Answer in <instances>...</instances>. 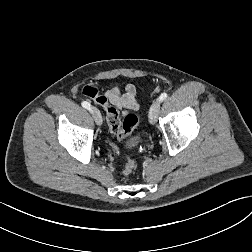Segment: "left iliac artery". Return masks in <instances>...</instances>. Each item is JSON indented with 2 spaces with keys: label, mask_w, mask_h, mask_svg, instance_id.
Returning <instances> with one entry per match:
<instances>
[{
  "label": "left iliac artery",
  "mask_w": 252,
  "mask_h": 252,
  "mask_svg": "<svg viewBox=\"0 0 252 252\" xmlns=\"http://www.w3.org/2000/svg\"><path fill=\"white\" fill-rule=\"evenodd\" d=\"M167 96H168L167 93L164 92V93H162V94L160 95L159 100H160V101H163V100H165V99L167 98Z\"/></svg>",
  "instance_id": "left-iliac-artery-1"
}]
</instances>
